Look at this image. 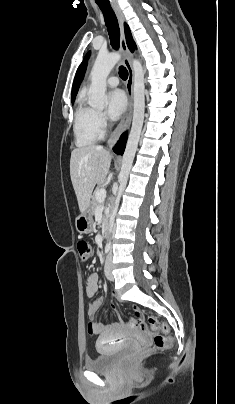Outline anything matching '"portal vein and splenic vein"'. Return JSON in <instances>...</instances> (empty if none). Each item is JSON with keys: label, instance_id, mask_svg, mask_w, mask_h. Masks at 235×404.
I'll return each instance as SVG.
<instances>
[{"label": "portal vein and splenic vein", "instance_id": "portal-vein-and-splenic-vein-1", "mask_svg": "<svg viewBox=\"0 0 235 404\" xmlns=\"http://www.w3.org/2000/svg\"><path fill=\"white\" fill-rule=\"evenodd\" d=\"M95 196H96V199H97L98 201H103V200L105 199V197H106V190L103 189V188L97 190V191L95 192Z\"/></svg>", "mask_w": 235, "mask_h": 404}]
</instances>
